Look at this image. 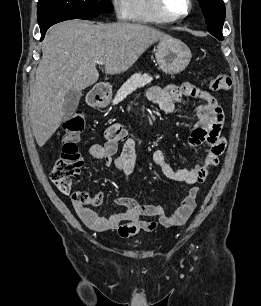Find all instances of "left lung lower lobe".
Wrapping results in <instances>:
<instances>
[{
	"label": "left lung lower lobe",
	"mask_w": 261,
	"mask_h": 306,
	"mask_svg": "<svg viewBox=\"0 0 261 306\" xmlns=\"http://www.w3.org/2000/svg\"><path fill=\"white\" fill-rule=\"evenodd\" d=\"M214 36V35H213ZM219 40H223V35L222 36H215Z\"/></svg>",
	"instance_id": "obj_1"
}]
</instances>
